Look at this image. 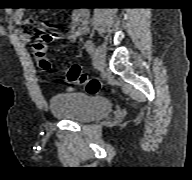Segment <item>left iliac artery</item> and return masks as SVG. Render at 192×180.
<instances>
[{
    "label": "left iliac artery",
    "instance_id": "44dca946",
    "mask_svg": "<svg viewBox=\"0 0 192 180\" xmlns=\"http://www.w3.org/2000/svg\"><path fill=\"white\" fill-rule=\"evenodd\" d=\"M85 48H86V50H87L90 54H92V53L94 52V43H93V41L90 40V39L86 40V42H85Z\"/></svg>",
    "mask_w": 192,
    "mask_h": 180
}]
</instances>
